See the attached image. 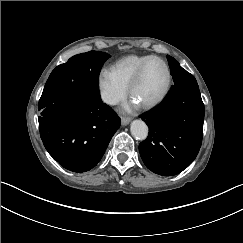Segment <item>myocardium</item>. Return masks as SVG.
<instances>
[{"label": "myocardium", "instance_id": "1", "mask_svg": "<svg viewBox=\"0 0 243 243\" xmlns=\"http://www.w3.org/2000/svg\"><path fill=\"white\" fill-rule=\"evenodd\" d=\"M154 60L160 61L166 67L167 72H168V83H167V86H166L164 92L157 99L142 105V107L145 108V109L154 108V107L160 105L169 95V93L172 89V85H173V78L174 77H173V72H172L171 66L163 58L158 57V56H154L150 59L145 60L144 62H142L140 64L138 70L136 71L135 75L132 77V79L130 80V82L127 86L128 93L131 95L132 90L136 86V84L139 82V80H140V78H141V76L144 72V69L146 68V66L151 61H154Z\"/></svg>", "mask_w": 243, "mask_h": 243}]
</instances>
